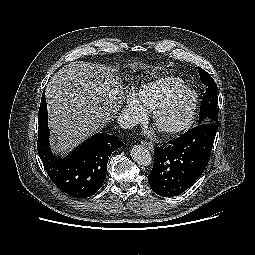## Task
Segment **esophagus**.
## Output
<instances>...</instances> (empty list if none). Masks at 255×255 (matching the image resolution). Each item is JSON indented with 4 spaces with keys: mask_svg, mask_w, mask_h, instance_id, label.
<instances>
[{
    "mask_svg": "<svg viewBox=\"0 0 255 255\" xmlns=\"http://www.w3.org/2000/svg\"><path fill=\"white\" fill-rule=\"evenodd\" d=\"M142 145L149 149L150 151L154 150V144L152 142L142 141Z\"/></svg>",
    "mask_w": 255,
    "mask_h": 255,
    "instance_id": "1",
    "label": "esophagus"
}]
</instances>
